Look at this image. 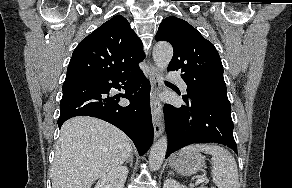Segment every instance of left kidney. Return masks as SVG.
<instances>
[{
  "label": "left kidney",
  "mask_w": 292,
  "mask_h": 188,
  "mask_svg": "<svg viewBox=\"0 0 292 188\" xmlns=\"http://www.w3.org/2000/svg\"><path fill=\"white\" fill-rule=\"evenodd\" d=\"M163 188H187V187L184 185H181L180 183H178L177 181L173 179H167L164 182Z\"/></svg>",
  "instance_id": "5707ae66"
}]
</instances>
